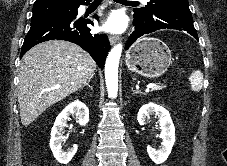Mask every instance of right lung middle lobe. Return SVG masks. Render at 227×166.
Here are the masks:
<instances>
[{"mask_svg": "<svg viewBox=\"0 0 227 166\" xmlns=\"http://www.w3.org/2000/svg\"><path fill=\"white\" fill-rule=\"evenodd\" d=\"M77 11L76 5L44 4L33 6L31 22L54 15H72Z\"/></svg>", "mask_w": 227, "mask_h": 166, "instance_id": "dd1d6c3e", "label": "right lung middle lobe"}]
</instances>
